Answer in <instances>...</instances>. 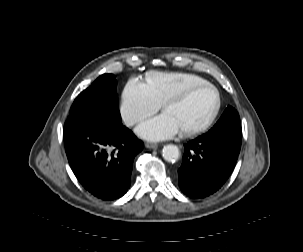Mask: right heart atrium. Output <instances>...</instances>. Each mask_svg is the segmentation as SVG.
<instances>
[{
	"label": "right heart atrium",
	"instance_id": "d8ad5b80",
	"mask_svg": "<svg viewBox=\"0 0 303 252\" xmlns=\"http://www.w3.org/2000/svg\"><path fill=\"white\" fill-rule=\"evenodd\" d=\"M160 108L150 97L145 83L138 78H131L123 91L119 112L127 126H133L152 115Z\"/></svg>",
	"mask_w": 303,
	"mask_h": 252
}]
</instances>
